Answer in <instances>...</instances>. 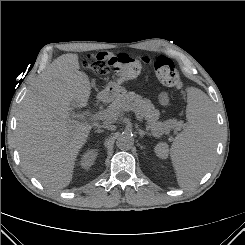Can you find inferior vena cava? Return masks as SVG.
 I'll return each instance as SVG.
<instances>
[{
  "label": "inferior vena cava",
  "instance_id": "inferior-vena-cava-1",
  "mask_svg": "<svg viewBox=\"0 0 245 245\" xmlns=\"http://www.w3.org/2000/svg\"><path fill=\"white\" fill-rule=\"evenodd\" d=\"M97 127L98 128H100V127H104V128H106V129H108V130H111V131H114L115 129H116V126H114V125H110V124H104V125H97Z\"/></svg>",
  "mask_w": 245,
  "mask_h": 245
}]
</instances>
